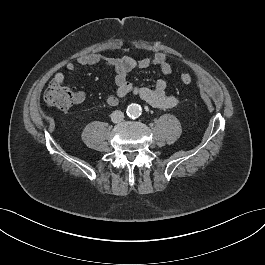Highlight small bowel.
<instances>
[{
	"instance_id": "c3829d8e",
	"label": "small bowel",
	"mask_w": 265,
	"mask_h": 265,
	"mask_svg": "<svg viewBox=\"0 0 265 265\" xmlns=\"http://www.w3.org/2000/svg\"><path fill=\"white\" fill-rule=\"evenodd\" d=\"M97 64H105L113 68L116 72V90L109 94L106 99L107 103L111 106L117 105L121 99L125 98L130 93L137 95L143 101L156 108H172L179 103L177 97L168 93V82L166 79L157 80L153 88L134 86L128 81V75L132 70L136 68L145 69L150 66L159 67L164 75H171L173 73V67L164 53L156 52L153 55L142 57L140 59H135L130 56L113 57L101 53H90L79 56L76 64L68 62L66 64V69L71 73H77L78 65L91 66ZM53 79L63 83L64 75L61 72H57ZM85 99L86 95L83 91H77L74 93L75 105L82 104Z\"/></svg>"
}]
</instances>
